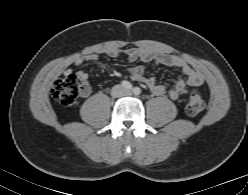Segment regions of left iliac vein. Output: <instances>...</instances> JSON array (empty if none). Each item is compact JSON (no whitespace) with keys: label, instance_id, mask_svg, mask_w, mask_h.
<instances>
[{"label":"left iliac vein","instance_id":"obj_1","mask_svg":"<svg viewBox=\"0 0 248 195\" xmlns=\"http://www.w3.org/2000/svg\"><path fill=\"white\" fill-rule=\"evenodd\" d=\"M126 94L128 95L129 94V91H127Z\"/></svg>","mask_w":248,"mask_h":195}]
</instances>
